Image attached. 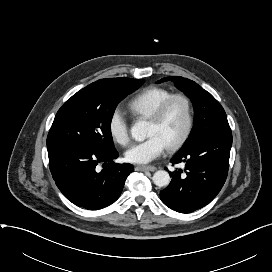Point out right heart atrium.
<instances>
[{
  "label": "right heart atrium",
  "instance_id": "d8ad5b80",
  "mask_svg": "<svg viewBox=\"0 0 272 272\" xmlns=\"http://www.w3.org/2000/svg\"><path fill=\"white\" fill-rule=\"evenodd\" d=\"M108 131L112 139L120 145H127L130 139L129 123L124 112L115 108L108 119Z\"/></svg>",
  "mask_w": 272,
  "mask_h": 272
}]
</instances>
